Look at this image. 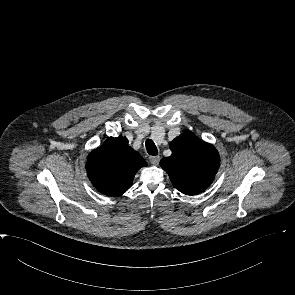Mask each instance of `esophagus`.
Instances as JSON below:
<instances>
[{
  "label": "esophagus",
  "instance_id": "34e87169",
  "mask_svg": "<svg viewBox=\"0 0 295 295\" xmlns=\"http://www.w3.org/2000/svg\"><path fill=\"white\" fill-rule=\"evenodd\" d=\"M149 161L152 164L157 165L159 163V161H160V156H150Z\"/></svg>",
  "mask_w": 295,
  "mask_h": 295
}]
</instances>
